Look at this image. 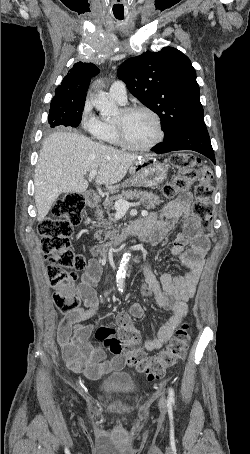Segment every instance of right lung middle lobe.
I'll use <instances>...</instances> for the list:
<instances>
[{
    "label": "right lung middle lobe",
    "instance_id": "obj_1",
    "mask_svg": "<svg viewBox=\"0 0 250 454\" xmlns=\"http://www.w3.org/2000/svg\"><path fill=\"white\" fill-rule=\"evenodd\" d=\"M85 100L70 102L64 99H52L48 121L51 127L58 125L77 127L82 118Z\"/></svg>",
    "mask_w": 250,
    "mask_h": 454
}]
</instances>
